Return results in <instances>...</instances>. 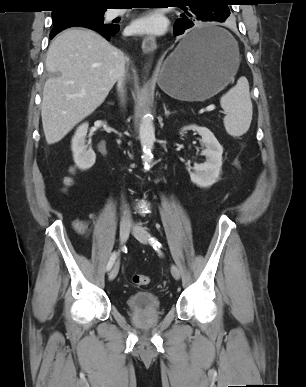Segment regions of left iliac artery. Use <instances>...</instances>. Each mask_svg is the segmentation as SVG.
<instances>
[{"label":"left iliac artery","mask_w":306,"mask_h":387,"mask_svg":"<svg viewBox=\"0 0 306 387\" xmlns=\"http://www.w3.org/2000/svg\"><path fill=\"white\" fill-rule=\"evenodd\" d=\"M150 244L154 247V248H160L161 247V244L157 241L156 238L154 237H150Z\"/></svg>","instance_id":"44dca946"}]
</instances>
